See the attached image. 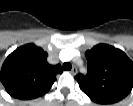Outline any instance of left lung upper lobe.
<instances>
[{"mask_svg":"<svg viewBox=\"0 0 133 106\" xmlns=\"http://www.w3.org/2000/svg\"><path fill=\"white\" fill-rule=\"evenodd\" d=\"M88 72L75 78L80 89L95 103L112 104L125 98L133 88V62L110 45L99 44L86 51Z\"/></svg>","mask_w":133,"mask_h":106,"instance_id":"5c2ea615","label":"left lung upper lobe"}]
</instances>
